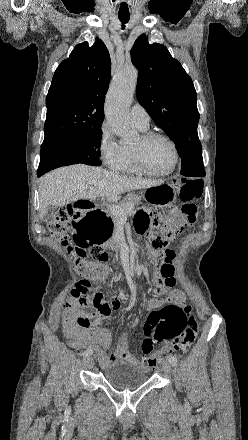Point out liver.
Wrapping results in <instances>:
<instances>
[{
    "instance_id": "6515ba94",
    "label": "liver",
    "mask_w": 248,
    "mask_h": 440,
    "mask_svg": "<svg viewBox=\"0 0 248 440\" xmlns=\"http://www.w3.org/2000/svg\"><path fill=\"white\" fill-rule=\"evenodd\" d=\"M161 181L118 175L100 167L76 164L61 167L41 177L39 183V216L43 219L49 205L64 206L79 199L106 197L118 201L123 193L147 189ZM83 190H80L84 188Z\"/></svg>"
}]
</instances>
